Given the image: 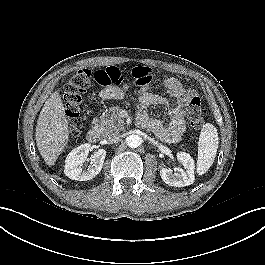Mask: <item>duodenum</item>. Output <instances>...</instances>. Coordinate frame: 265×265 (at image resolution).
<instances>
[{
	"mask_svg": "<svg viewBox=\"0 0 265 265\" xmlns=\"http://www.w3.org/2000/svg\"><path fill=\"white\" fill-rule=\"evenodd\" d=\"M100 138V130L97 126H93L87 132V139L91 143H96Z\"/></svg>",
	"mask_w": 265,
	"mask_h": 265,
	"instance_id": "duodenum-1",
	"label": "duodenum"
}]
</instances>
